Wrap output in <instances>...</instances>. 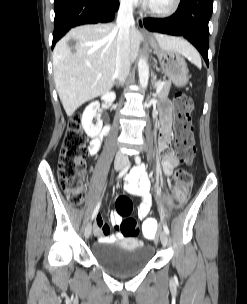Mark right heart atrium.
Masks as SVG:
<instances>
[{"instance_id":"obj_1","label":"right heart atrium","mask_w":247,"mask_h":304,"mask_svg":"<svg viewBox=\"0 0 247 304\" xmlns=\"http://www.w3.org/2000/svg\"><path fill=\"white\" fill-rule=\"evenodd\" d=\"M139 0H119L120 4L124 7L133 8L136 7Z\"/></svg>"}]
</instances>
